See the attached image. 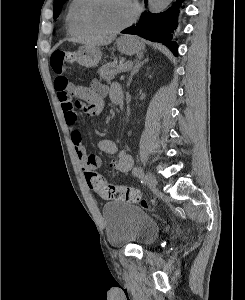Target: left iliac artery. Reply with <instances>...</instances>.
<instances>
[{
    "label": "left iliac artery",
    "instance_id": "left-iliac-artery-1",
    "mask_svg": "<svg viewBox=\"0 0 245 300\" xmlns=\"http://www.w3.org/2000/svg\"><path fill=\"white\" fill-rule=\"evenodd\" d=\"M134 175H136L138 178L142 177L144 175L143 170L140 167H136L133 170Z\"/></svg>",
    "mask_w": 245,
    "mask_h": 300
}]
</instances>
